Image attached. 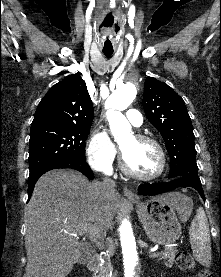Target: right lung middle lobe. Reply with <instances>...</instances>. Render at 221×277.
Masks as SVG:
<instances>
[{"label": "right lung middle lobe", "instance_id": "right-lung-middle-lobe-1", "mask_svg": "<svg viewBox=\"0 0 221 277\" xmlns=\"http://www.w3.org/2000/svg\"><path fill=\"white\" fill-rule=\"evenodd\" d=\"M91 126L40 125L31 127L30 175L69 160L85 161V140Z\"/></svg>", "mask_w": 221, "mask_h": 277}]
</instances>
